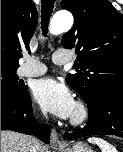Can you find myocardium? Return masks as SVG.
<instances>
[{"label": "myocardium", "instance_id": "f54148a6", "mask_svg": "<svg viewBox=\"0 0 123 152\" xmlns=\"http://www.w3.org/2000/svg\"><path fill=\"white\" fill-rule=\"evenodd\" d=\"M90 118L89 106L82 100L75 103V109L70 117V124L72 126H81L85 124Z\"/></svg>", "mask_w": 123, "mask_h": 152}]
</instances>
